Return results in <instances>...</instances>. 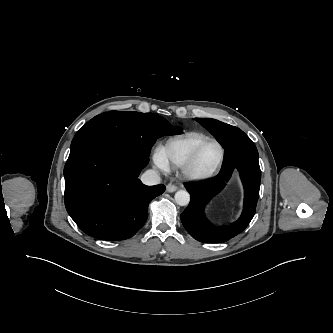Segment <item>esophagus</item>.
Instances as JSON below:
<instances>
[{
    "instance_id": "esophagus-1",
    "label": "esophagus",
    "mask_w": 333,
    "mask_h": 333,
    "mask_svg": "<svg viewBox=\"0 0 333 333\" xmlns=\"http://www.w3.org/2000/svg\"><path fill=\"white\" fill-rule=\"evenodd\" d=\"M166 190L167 192L169 193H172V192H175L177 190V186L172 184V183H169L167 186H166Z\"/></svg>"
}]
</instances>
